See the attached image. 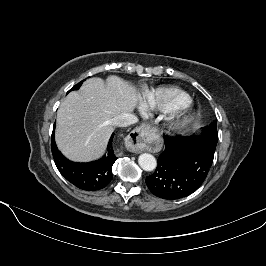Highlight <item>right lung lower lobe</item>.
<instances>
[{
    "label": "right lung lower lobe",
    "mask_w": 266,
    "mask_h": 266,
    "mask_svg": "<svg viewBox=\"0 0 266 266\" xmlns=\"http://www.w3.org/2000/svg\"><path fill=\"white\" fill-rule=\"evenodd\" d=\"M113 137L114 134H112L109 140L107 155L97 161L75 163L64 157L57 149L53 131L51 141L52 153L55 164L62 176L82 190L95 191L106 187L112 179V166L117 159L113 150Z\"/></svg>",
    "instance_id": "obj_1"
}]
</instances>
